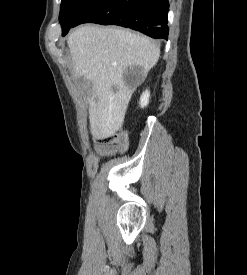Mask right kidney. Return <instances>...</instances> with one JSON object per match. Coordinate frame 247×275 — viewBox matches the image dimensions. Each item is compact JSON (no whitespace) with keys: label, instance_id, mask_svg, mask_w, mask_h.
<instances>
[{"label":"right kidney","instance_id":"1","mask_svg":"<svg viewBox=\"0 0 247 275\" xmlns=\"http://www.w3.org/2000/svg\"><path fill=\"white\" fill-rule=\"evenodd\" d=\"M149 97H150V92L146 90L145 92L142 93L140 97V106L142 108L146 107L149 103Z\"/></svg>","mask_w":247,"mask_h":275}]
</instances>
